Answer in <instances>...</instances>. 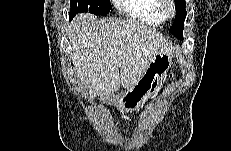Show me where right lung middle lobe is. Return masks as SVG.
<instances>
[{"instance_id": "obj_1", "label": "right lung middle lobe", "mask_w": 231, "mask_h": 151, "mask_svg": "<svg viewBox=\"0 0 231 151\" xmlns=\"http://www.w3.org/2000/svg\"><path fill=\"white\" fill-rule=\"evenodd\" d=\"M112 9L110 0H71L69 17L73 18L76 13H92L106 16Z\"/></svg>"}]
</instances>
